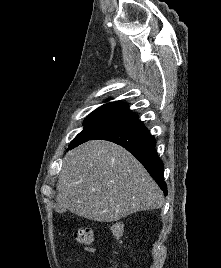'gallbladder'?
Instances as JSON below:
<instances>
[{
    "instance_id": "obj_1",
    "label": "gallbladder",
    "mask_w": 221,
    "mask_h": 268,
    "mask_svg": "<svg viewBox=\"0 0 221 268\" xmlns=\"http://www.w3.org/2000/svg\"><path fill=\"white\" fill-rule=\"evenodd\" d=\"M53 209L54 210H64L65 209V206H64V202H57V205H54L53 206Z\"/></svg>"
}]
</instances>
